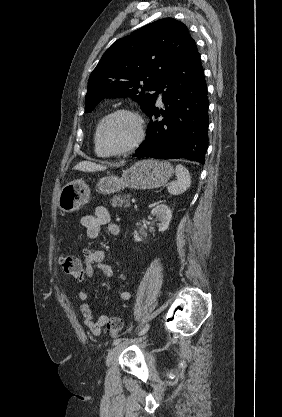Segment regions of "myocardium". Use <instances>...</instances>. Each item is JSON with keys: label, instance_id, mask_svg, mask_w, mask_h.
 <instances>
[{"label": "myocardium", "instance_id": "f54148a6", "mask_svg": "<svg viewBox=\"0 0 282 417\" xmlns=\"http://www.w3.org/2000/svg\"><path fill=\"white\" fill-rule=\"evenodd\" d=\"M118 117H128L134 121L136 125V135L135 137L127 144L119 146V147H111L107 144L106 136L107 130L111 122L118 118ZM145 137V126L144 120L142 117L130 110L119 109L111 114H109L101 123L100 130H99V137H98V144L101 150L107 155H114L129 151L135 147H137Z\"/></svg>", "mask_w": 282, "mask_h": 417}]
</instances>
